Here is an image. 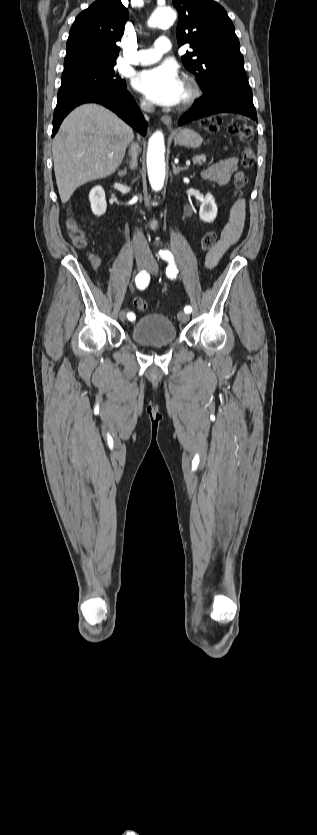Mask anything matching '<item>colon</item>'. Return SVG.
I'll return each instance as SVG.
<instances>
[{"instance_id": "5ec220e1", "label": "colon", "mask_w": 317, "mask_h": 835, "mask_svg": "<svg viewBox=\"0 0 317 835\" xmlns=\"http://www.w3.org/2000/svg\"><path fill=\"white\" fill-rule=\"evenodd\" d=\"M203 129L208 133H217L220 130L222 125V119L220 117H208L201 122ZM228 132L238 138L241 142L245 144V148L242 154V164L244 167H250L255 162V151L249 145L252 138H253V130L252 128L246 123L245 120L242 118H236L232 120L228 125ZM247 184V178L244 172L238 171L234 174L232 179V187L234 189V193L238 199H241L242 190ZM68 232L73 241V243L79 247L83 248L87 244V236L83 229L74 221L70 220L68 222ZM216 241V236L213 232L206 233L200 242V249L203 252L211 250ZM134 305L139 310H146L148 308V303L143 298H135Z\"/></svg>"}]
</instances>
